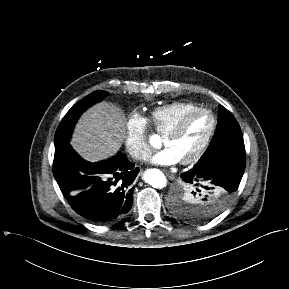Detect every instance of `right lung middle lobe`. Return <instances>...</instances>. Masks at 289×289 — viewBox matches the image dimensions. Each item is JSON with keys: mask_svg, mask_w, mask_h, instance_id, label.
<instances>
[{"mask_svg": "<svg viewBox=\"0 0 289 289\" xmlns=\"http://www.w3.org/2000/svg\"><path fill=\"white\" fill-rule=\"evenodd\" d=\"M107 95L106 91L98 90L84 97L76 105H74L62 119L56 133H55V148L69 141L73 127L83 111H85L92 104L100 101Z\"/></svg>", "mask_w": 289, "mask_h": 289, "instance_id": "1", "label": "right lung middle lobe"}]
</instances>
